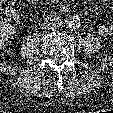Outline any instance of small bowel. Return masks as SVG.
Segmentation results:
<instances>
[{
  "label": "small bowel",
  "instance_id": "obj_1",
  "mask_svg": "<svg viewBox=\"0 0 113 113\" xmlns=\"http://www.w3.org/2000/svg\"><path fill=\"white\" fill-rule=\"evenodd\" d=\"M98 1L101 3H105V2L110 1V0H98ZM11 14H12L14 19L18 18V12L16 10L12 9ZM98 21H99L98 18L94 19V22L98 23ZM98 32H99V34H101L103 36H109V37L113 36V21L109 24H106V25L99 24L98 25Z\"/></svg>",
  "mask_w": 113,
  "mask_h": 113
}]
</instances>
